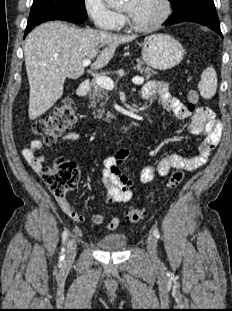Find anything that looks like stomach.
<instances>
[{
	"label": "stomach",
	"mask_w": 232,
	"mask_h": 311,
	"mask_svg": "<svg viewBox=\"0 0 232 311\" xmlns=\"http://www.w3.org/2000/svg\"><path fill=\"white\" fill-rule=\"evenodd\" d=\"M184 56L180 42L167 34H155L142 43L143 61L151 68L167 70L178 65Z\"/></svg>",
	"instance_id": "0dacf381"
}]
</instances>
